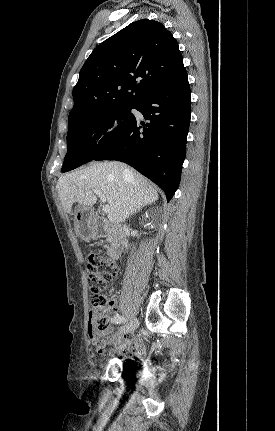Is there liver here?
<instances>
[{
  "label": "liver",
  "instance_id": "6515ba94",
  "mask_svg": "<svg viewBox=\"0 0 275 431\" xmlns=\"http://www.w3.org/2000/svg\"><path fill=\"white\" fill-rule=\"evenodd\" d=\"M94 190L105 195L110 206L108 219L114 224L124 222L130 214L158 199L157 189L146 177L118 161L93 163L57 182L61 204L68 214L75 202L92 207L97 201Z\"/></svg>",
  "mask_w": 275,
  "mask_h": 431
}]
</instances>
